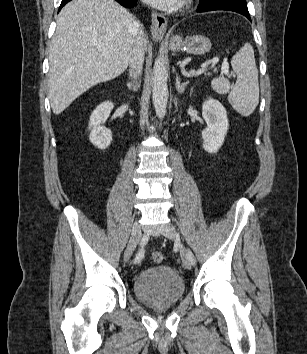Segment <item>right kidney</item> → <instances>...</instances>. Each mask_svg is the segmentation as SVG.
<instances>
[{
	"label": "right kidney",
	"instance_id": "ca27d5eb",
	"mask_svg": "<svg viewBox=\"0 0 307 354\" xmlns=\"http://www.w3.org/2000/svg\"><path fill=\"white\" fill-rule=\"evenodd\" d=\"M114 104L111 101L101 103L92 112L89 122V140L97 148L106 149L112 141V132L103 124L108 119Z\"/></svg>",
	"mask_w": 307,
	"mask_h": 354
}]
</instances>
